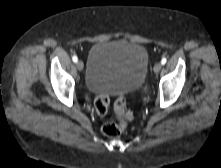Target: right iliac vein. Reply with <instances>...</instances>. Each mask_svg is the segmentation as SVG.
I'll return each instance as SVG.
<instances>
[{"label":"right iliac vein","mask_w":221,"mask_h":168,"mask_svg":"<svg viewBox=\"0 0 221 168\" xmlns=\"http://www.w3.org/2000/svg\"><path fill=\"white\" fill-rule=\"evenodd\" d=\"M76 67H77V69H78L79 71H82L83 68H84L83 62H82V61H77Z\"/></svg>","instance_id":"63e3f726"}]
</instances>
